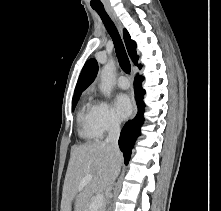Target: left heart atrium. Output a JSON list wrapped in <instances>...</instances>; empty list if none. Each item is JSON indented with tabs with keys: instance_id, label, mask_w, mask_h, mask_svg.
Wrapping results in <instances>:
<instances>
[{
	"instance_id": "1",
	"label": "left heart atrium",
	"mask_w": 221,
	"mask_h": 211,
	"mask_svg": "<svg viewBox=\"0 0 221 211\" xmlns=\"http://www.w3.org/2000/svg\"><path fill=\"white\" fill-rule=\"evenodd\" d=\"M115 110L120 118H127L132 112V103L126 94H119L115 99Z\"/></svg>"
}]
</instances>
